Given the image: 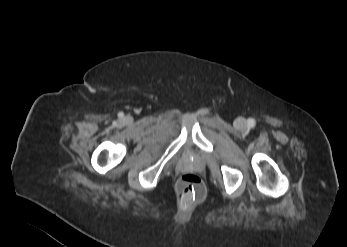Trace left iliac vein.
Listing matches in <instances>:
<instances>
[{
	"mask_svg": "<svg viewBox=\"0 0 347 247\" xmlns=\"http://www.w3.org/2000/svg\"><path fill=\"white\" fill-rule=\"evenodd\" d=\"M235 126L239 129H242L246 126V120L243 117H239L234 122Z\"/></svg>",
	"mask_w": 347,
	"mask_h": 247,
	"instance_id": "left-iliac-vein-1",
	"label": "left iliac vein"
}]
</instances>
